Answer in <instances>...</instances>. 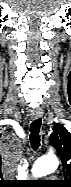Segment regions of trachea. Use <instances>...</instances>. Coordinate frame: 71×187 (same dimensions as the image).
I'll return each mask as SVG.
<instances>
[{
	"instance_id": "trachea-1",
	"label": "trachea",
	"mask_w": 71,
	"mask_h": 187,
	"mask_svg": "<svg viewBox=\"0 0 71 187\" xmlns=\"http://www.w3.org/2000/svg\"><path fill=\"white\" fill-rule=\"evenodd\" d=\"M41 126V119L34 120L30 125V142L34 150H37L40 146V135L39 130Z\"/></svg>"
}]
</instances>
